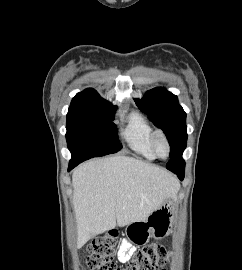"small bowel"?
Segmentation results:
<instances>
[{
  "instance_id": "c3829d8e",
  "label": "small bowel",
  "mask_w": 242,
  "mask_h": 270,
  "mask_svg": "<svg viewBox=\"0 0 242 270\" xmlns=\"http://www.w3.org/2000/svg\"><path fill=\"white\" fill-rule=\"evenodd\" d=\"M131 250L132 246L127 241H123L118 252V259L122 261L129 259Z\"/></svg>"
}]
</instances>
